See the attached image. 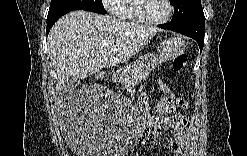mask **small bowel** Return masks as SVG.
Wrapping results in <instances>:
<instances>
[{
    "mask_svg": "<svg viewBox=\"0 0 247 156\" xmlns=\"http://www.w3.org/2000/svg\"><path fill=\"white\" fill-rule=\"evenodd\" d=\"M161 88L167 93L164 98L171 97L172 101H174V106H171L170 112H163L166 113V118H162L161 121H154V116L147 115V101L145 98L143 99V110L145 113L146 122L152 126L155 133L152 136H149L148 134L144 135L141 141L149 142L155 140L157 138V131L155 127L162 125L169 126L175 130L174 136L171 139L166 140L171 147L172 154L177 156L185 155L187 151V141L190 135V124L185 116L176 110L179 107H185L186 104L182 100L176 99L171 93V90L164 84L161 85Z\"/></svg>",
    "mask_w": 247,
    "mask_h": 156,
    "instance_id": "small-bowel-1",
    "label": "small bowel"
}]
</instances>
